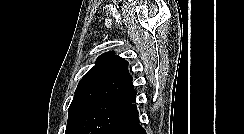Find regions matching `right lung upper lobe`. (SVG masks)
I'll return each instance as SVG.
<instances>
[{
  "label": "right lung upper lobe",
  "mask_w": 244,
  "mask_h": 134,
  "mask_svg": "<svg viewBox=\"0 0 244 134\" xmlns=\"http://www.w3.org/2000/svg\"><path fill=\"white\" fill-rule=\"evenodd\" d=\"M135 96L128 62L110 51L99 56L95 66L82 77L69 111L93 100L121 99L134 102Z\"/></svg>",
  "instance_id": "1"
}]
</instances>
